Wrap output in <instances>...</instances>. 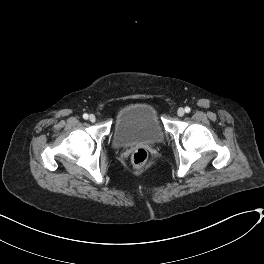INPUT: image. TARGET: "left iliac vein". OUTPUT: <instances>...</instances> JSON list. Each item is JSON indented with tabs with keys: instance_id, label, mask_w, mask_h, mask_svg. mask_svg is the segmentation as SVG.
<instances>
[{
	"instance_id": "1",
	"label": "left iliac vein",
	"mask_w": 264,
	"mask_h": 264,
	"mask_svg": "<svg viewBox=\"0 0 264 264\" xmlns=\"http://www.w3.org/2000/svg\"><path fill=\"white\" fill-rule=\"evenodd\" d=\"M177 114L178 116L182 117L185 114V110L183 108H179Z\"/></svg>"
}]
</instances>
